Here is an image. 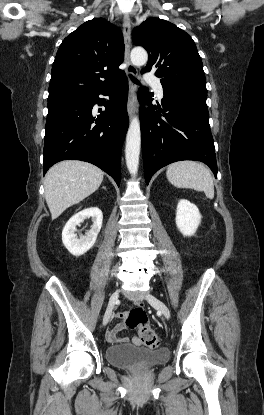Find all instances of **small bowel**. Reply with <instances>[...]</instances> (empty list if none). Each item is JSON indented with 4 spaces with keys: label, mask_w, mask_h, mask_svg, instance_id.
<instances>
[{
    "label": "small bowel",
    "mask_w": 264,
    "mask_h": 415,
    "mask_svg": "<svg viewBox=\"0 0 264 415\" xmlns=\"http://www.w3.org/2000/svg\"><path fill=\"white\" fill-rule=\"evenodd\" d=\"M124 317H125L124 312H118L113 316L114 319H123ZM125 329H126V326L123 322L113 324L105 333L106 341L111 345L128 343L129 342L128 337H121L119 335V333L124 331ZM132 342L135 345H141L142 343L141 339L138 337H134L132 339Z\"/></svg>",
    "instance_id": "obj_1"
}]
</instances>
